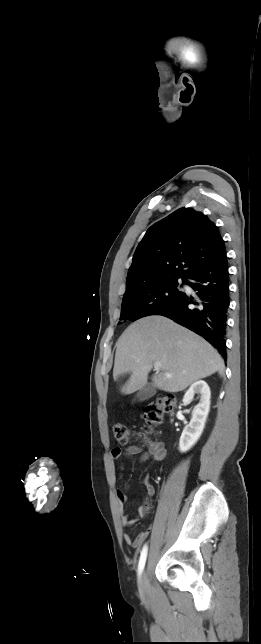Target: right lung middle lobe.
Returning a JSON list of instances; mask_svg holds the SVG:
<instances>
[{"instance_id": "dd1d6c3e", "label": "right lung middle lobe", "mask_w": 261, "mask_h": 644, "mask_svg": "<svg viewBox=\"0 0 261 644\" xmlns=\"http://www.w3.org/2000/svg\"><path fill=\"white\" fill-rule=\"evenodd\" d=\"M178 279L168 278L126 289L120 320L135 321L156 314L174 303L182 295V291L178 289Z\"/></svg>"}]
</instances>
